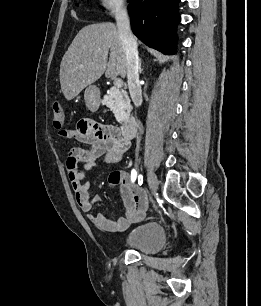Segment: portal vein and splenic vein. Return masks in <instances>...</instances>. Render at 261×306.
Returning a JSON list of instances; mask_svg holds the SVG:
<instances>
[{
    "mask_svg": "<svg viewBox=\"0 0 261 306\" xmlns=\"http://www.w3.org/2000/svg\"><path fill=\"white\" fill-rule=\"evenodd\" d=\"M123 86V81L120 78L114 79V87L121 88Z\"/></svg>",
    "mask_w": 261,
    "mask_h": 306,
    "instance_id": "18ae733b",
    "label": "portal vein and splenic vein"
}]
</instances>
